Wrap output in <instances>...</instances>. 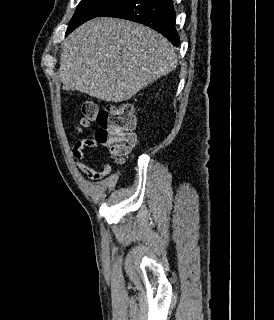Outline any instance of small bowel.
I'll return each instance as SVG.
<instances>
[{
  "label": "small bowel",
  "mask_w": 274,
  "mask_h": 320,
  "mask_svg": "<svg viewBox=\"0 0 274 320\" xmlns=\"http://www.w3.org/2000/svg\"><path fill=\"white\" fill-rule=\"evenodd\" d=\"M98 145V140L81 139L76 142L73 149V158L75 160L76 166L80 171L85 173L91 179L104 178L108 176L111 172V165L108 163L104 164L103 169L101 171H96L83 162L85 158V149L91 147H98Z\"/></svg>",
  "instance_id": "small-bowel-1"
}]
</instances>
